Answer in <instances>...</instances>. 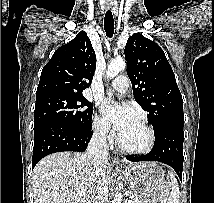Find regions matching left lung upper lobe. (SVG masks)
Wrapping results in <instances>:
<instances>
[{
  "label": "left lung upper lobe",
  "instance_id": "obj_1",
  "mask_svg": "<svg viewBox=\"0 0 214 203\" xmlns=\"http://www.w3.org/2000/svg\"><path fill=\"white\" fill-rule=\"evenodd\" d=\"M127 74L135 100L147 111L155 136L171 124H184L183 99L164 51L140 33L129 37Z\"/></svg>",
  "mask_w": 214,
  "mask_h": 203
}]
</instances>
